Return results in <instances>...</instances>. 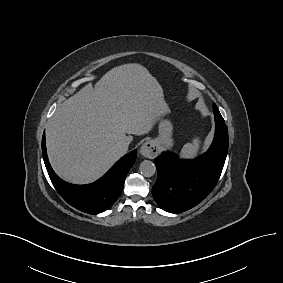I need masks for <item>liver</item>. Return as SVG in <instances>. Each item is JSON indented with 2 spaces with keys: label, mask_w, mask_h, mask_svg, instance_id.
Masks as SVG:
<instances>
[{
  "label": "liver",
  "mask_w": 283,
  "mask_h": 283,
  "mask_svg": "<svg viewBox=\"0 0 283 283\" xmlns=\"http://www.w3.org/2000/svg\"><path fill=\"white\" fill-rule=\"evenodd\" d=\"M162 88L140 64L108 71L60 104L46 130L50 163L64 180L88 184L105 174L127 151L128 134L149 133L166 113Z\"/></svg>",
  "instance_id": "liver-1"
}]
</instances>
